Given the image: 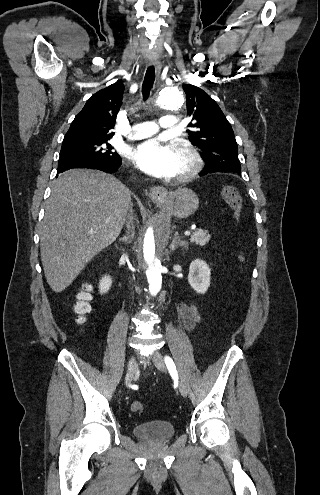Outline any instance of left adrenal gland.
Returning a JSON list of instances; mask_svg holds the SVG:
<instances>
[{
    "mask_svg": "<svg viewBox=\"0 0 320 495\" xmlns=\"http://www.w3.org/2000/svg\"><path fill=\"white\" fill-rule=\"evenodd\" d=\"M178 246L188 248V242L183 241L178 237V232L174 234V237L172 239L171 245H170V250H175Z\"/></svg>",
    "mask_w": 320,
    "mask_h": 495,
    "instance_id": "a2214340",
    "label": "left adrenal gland"
}]
</instances>
